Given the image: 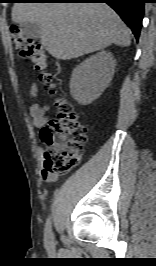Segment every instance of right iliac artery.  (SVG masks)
I'll use <instances>...</instances> for the list:
<instances>
[{"label": "right iliac artery", "mask_w": 156, "mask_h": 266, "mask_svg": "<svg viewBox=\"0 0 156 266\" xmlns=\"http://www.w3.org/2000/svg\"><path fill=\"white\" fill-rule=\"evenodd\" d=\"M45 239L49 242L53 241V234L51 229V220L50 218L47 219L46 225H45Z\"/></svg>", "instance_id": "right-iliac-artery-1"}]
</instances>
